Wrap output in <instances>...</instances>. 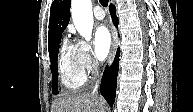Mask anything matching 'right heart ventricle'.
<instances>
[{"instance_id":"e07e8e85","label":"right heart ventricle","mask_w":193,"mask_h":112,"mask_svg":"<svg viewBox=\"0 0 193 112\" xmlns=\"http://www.w3.org/2000/svg\"><path fill=\"white\" fill-rule=\"evenodd\" d=\"M58 73L62 86L67 90H78L86 82V73L79 62L75 46L66 41L59 52Z\"/></svg>"}]
</instances>
